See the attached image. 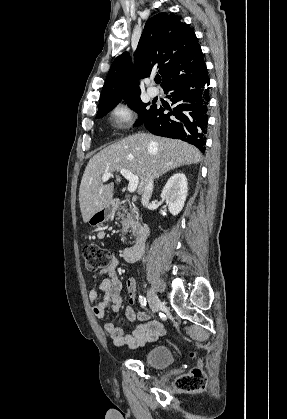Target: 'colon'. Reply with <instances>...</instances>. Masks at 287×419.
<instances>
[{"label": "colon", "mask_w": 287, "mask_h": 419, "mask_svg": "<svg viewBox=\"0 0 287 419\" xmlns=\"http://www.w3.org/2000/svg\"><path fill=\"white\" fill-rule=\"evenodd\" d=\"M85 268L89 272L101 270L109 265L111 254L108 250L96 244H88L83 248ZM175 385L185 391L201 390L206 385V376L201 365H197L186 374L179 376Z\"/></svg>", "instance_id": "colon-1"}]
</instances>
